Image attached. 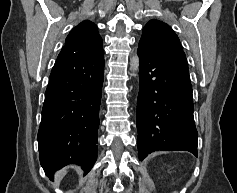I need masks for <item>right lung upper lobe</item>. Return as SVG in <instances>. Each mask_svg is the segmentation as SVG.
<instances>
[{
  "mask_svg": "<svg viewBox=\"0 0 237 193\" xmlns=\"http://www.w3.org/2000/svg\"><path fill=\"white\" fill-rule=\"evenodd\" d=\"M61 52L81 58L103 55L102 38L97 26L88 20L78 24L67 36Z\"/></svg>",
  "mask_w": 237,
  "mask_h": 193,
  "instance_id": "1",
  "label": "right lung upper lobe"
}]
</instances>
